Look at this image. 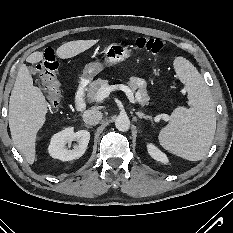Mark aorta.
Instances as JSON below:
<instances>
[{
    "label": "aorta",
    "instance_id": "762f6f07",
    "mask_svg": "<svg viewBox=\"0 0 233 233\" xmlns=\"http://www.w3.org/2000/svg\"><path fill=\"white\" fill-rule=\"evenodd\" d=\"M115 126L119 131H127L130 128V120L127 115H119L115 121Z\"/></svg>",
    "mask_w": 233,
    "mask_h": 233
}]
</instances>
